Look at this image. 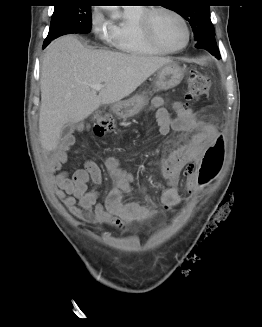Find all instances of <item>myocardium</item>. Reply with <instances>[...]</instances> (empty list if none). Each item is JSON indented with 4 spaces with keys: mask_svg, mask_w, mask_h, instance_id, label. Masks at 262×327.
<instances>
[{
    "mask_svg": "<svg viewBox=\"0 0 262 327\" xmlns=\"http://www.w3.org/2000/svg\"><path fill=\"white\" fill-rule=\"evenodd\" d=\"M157 12L170 13V14L174 15L175 17H177L182 22V24L184 25L185 30H186V40L181 47L168 48L164 44H162L159 41V39L156 37L154 29H153V16ZM139 24H140L141 31L144 34V36L147 38V40L153 46H155L156 48L160 49L161 51H163L165 53H177V52L184 50L188 46L190 39H191V30H190L187 20L180 12H178L177 10H175L171 7L154 6V7L146 8L140 17Z\"/></svg>",
    "mask_w": 262,
    "mask_h": 327,
    "instance_id": "obj_1",
    "label": "myocardium"
}]
</instances>
